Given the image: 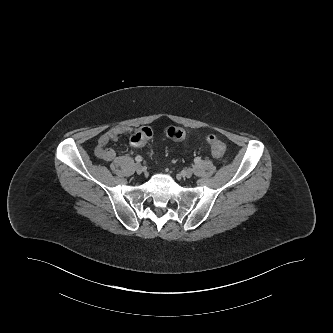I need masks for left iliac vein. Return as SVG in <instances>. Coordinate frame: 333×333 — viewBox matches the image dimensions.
Wrapping results in <instances>:
<instances>
[{
    "label": "left iliac vein",
    "mask_w": 333,
    "mask_h": 333,
    "mask_svg": "<svg viewBox=\"0 0 333 333\" xmlns=\"http://www.w3.org/2000/svg\"><path fill=\"white\" fill-rule=\"evenodd\" d=\"M184 175L186 178H190L193 175V169L188 168L184 171Z\"/></svg>",
    "instance_id": "obj_1"
}]
</instances>
